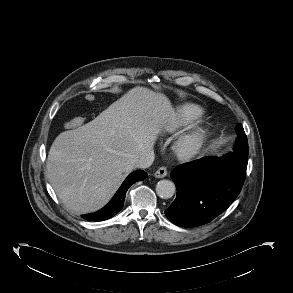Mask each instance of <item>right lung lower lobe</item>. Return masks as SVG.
<instances>
[{"mask_svg":"<svg viewBox=\"0 0 293 293\" xmlns=\"http://www.w3.org/2000/svg\"><path fill=\"white\" fill-rule=\"evenodd\" d=\"M146 177L147 173L142 170L132 172L105 207L95 213L82 215V217L88 221H103L113 217L123 208L127 189L135 182L144 180Z\"/></svg>","mask_w":293,"mask_h":293,"instance_id":"obj_1","label":"right lung lower lobe"}]
</instances>
